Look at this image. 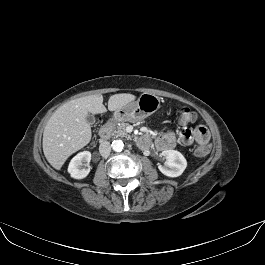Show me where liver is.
I'll return each mask as SVG.
<instances>
[{
	"mask_svg": "<svg viewBox=\"0 0 265 265\" xmlns=\"http://www.w3.org/2000/svg\"><path fill=\"white\" fill-rule=\"evenodd\" d=\"M135 95L121 93L110 96L108 110L115 111L134 101ZM100 94L71 100L59 107L48 120L43 132V152L47 161L57 170L73 153L86 146L92 137L86 121L89 113H105Z\"/></svg>",
	"mask_w": 265,
	"mask_h": 265,
	"instance_id": "6515ba94",
	"label": "liver"
}]
</instances>
